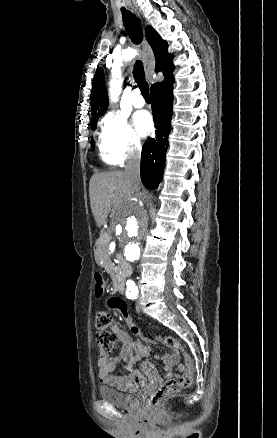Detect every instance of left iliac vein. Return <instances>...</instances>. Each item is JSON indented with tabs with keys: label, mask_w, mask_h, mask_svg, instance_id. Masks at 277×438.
I'll return each instance as SVG.
<instances>
[{
	"label": "left iliac vein",
	"mask_w": 277,
	"mask_h": 438,
	"mask_svg": "<svg viewBox=\"0 0 277 438\" xmlns=\"http://www.w3.org/2000/svg\"><path fill=\"white\" fill-rule=\"evenodd\" d=\"M136 311L141 312V305L139 302L136 304Z\"/></svg>",
	"instance_id": "1"
}]
</instances>
